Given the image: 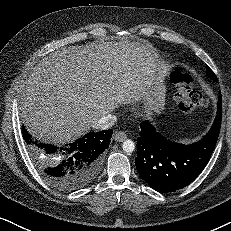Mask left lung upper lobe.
<instances>
[{"label": "left lung upper lobe", "mask_w": 231, "mask_h": 231, "mask_svg": "<svg viewBox=\"0 0 231 231\" xmlns=\"http://www.w3.org/2000/svg\"><path fill=\"white\" fill-rule=\"evenodd\" d=\"M207 75L212 78L214 81H217V78L214 74V72L211 69H207Z\"/></svg>", "instance_id": "obj_1"}]
</instances>
